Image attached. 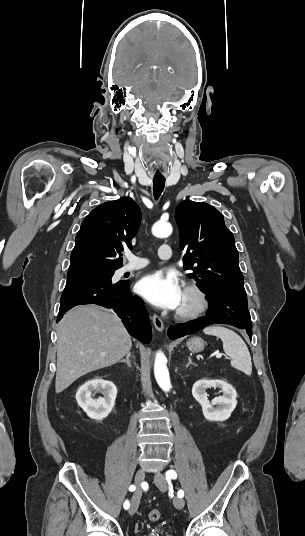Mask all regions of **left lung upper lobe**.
<instances>
[{
  "mask_svg": "<svg viewBox=\"0 0 305 536\" xmlns=\"http://www.w3.org/2000/svg\"><path fill=\"white\" fill-rule=\"evenodd\" d=\"M180 249L188 277L207 292L244 291L233 234L223 215L207 203L183 201L176 207Z\"/></svg>",
  "mask_w": 305,
  "mask_h": 536,
  "instance_id": "obj_1",
  "label": "left lung upper lobe"
}]
</instances>
